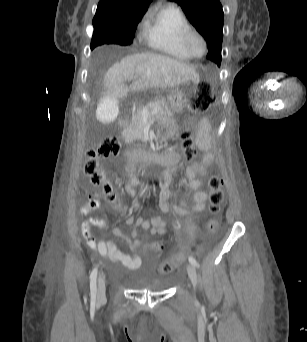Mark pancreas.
<instances>
[{
  "mask_svg": "<svg viewBox=\"0 0 307 342\" xmlns=\"http://www.w3.org/2000/svg\"><path fill=\"white\" fill-rule=\"evenodd\" d=\"M149 112V116H151L152 110H157L158 113H156L154 116L158 119H170L171 112L169 108H167V102L164 100V98H159V100H155V102H150V104H147L145 106ZM146 122H144V116L142 112H136V114H133L132 116V126L134 132H137V134H143V128H145Z\"/></svg>",
  "mask_w": 307,
  "mask_h": 342,
  "instance_id": "1",
  "label": "pancreas"
}]
</instances>
